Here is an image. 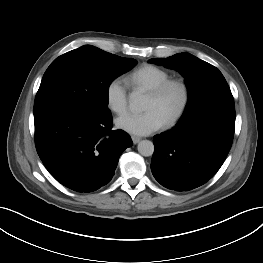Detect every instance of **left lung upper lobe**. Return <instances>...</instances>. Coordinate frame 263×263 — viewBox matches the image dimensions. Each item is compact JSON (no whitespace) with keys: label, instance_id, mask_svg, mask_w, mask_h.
<instances>
[{"label":"left lung upper lobe","instance_id":"obj_1","mask_svg":"<svg viewBox=\"0 0 263 263\" xmlns=\"http://www.w3.org/2000/svg\"><path fill=\"white\" fill-rule=\"evenodd\" d=\"M149 62L175 69L185 77L189 98L182 118L195 116L213 106L234 105L224 76L213 65L189 53L150 59Z\"/></svg>","mask_w":263,"mask_h":263}]
</instances>
